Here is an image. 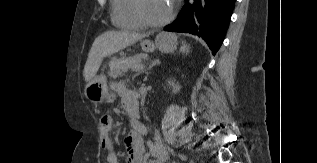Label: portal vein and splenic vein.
Segmentation results:
<instances>
[{"label": "portal vein and splenic vein", "mask_w": 317, "mask_h": 163, "mask_svg": "<svg viewBox=\"0 0 317 163\" xmlns=\"http://www.w3.org/2000/svg\"><path fill=\"white\" fill-rule=\"evenodd\" d=\"M142 68H143V65L140 64V65H136L133 69H134L135 71H137V70H140V69H142Z\"/></svg>", "instance_id": "obj_1"}]
</instances>
